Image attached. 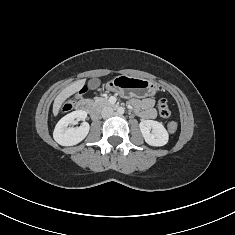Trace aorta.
<instances>
[{
  "mask_svg": "<svg viewBox=\"0 0 235 235\" xmlns=\"http://www.w3.org/2000/svg\"><path fill=\"white\" fill-rule=\"evenodd\" d=\"M124 108L123 107H119L118 109H117V113L119 114V115H122V114H124Z\"/></svg>",
  "mask_w": 235,
  "mask_h": 235,
  "instance_id": "obj_1",
  "label": "aorta"
}]
</instances>
